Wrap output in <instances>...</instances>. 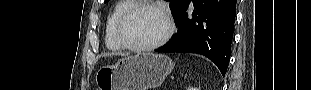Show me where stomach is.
Here are the masks:
<instances>
[{
  "label": "stomach",
  "mask_w": 311,
  "mask_h": 90,
  "mask_svg": "<svg viewBox=\"0 0 311 90\" xmlns=\"http://www.w3.org/2000/svg\"><path fill=\"white\" fill-rule=\"evenodd\" d=\"M172 69L167 56L143 52L101 67L95 81L98 90H149L160 86Z\"/></svg>",
  "instance_id": "1"
}]
</instances>
